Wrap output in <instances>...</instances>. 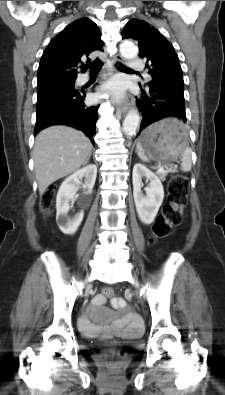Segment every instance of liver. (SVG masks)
Here are the masks:
<instances>
[{
  "label": "liver",
  "instance_id": "obj_1",
  "mask_svg": "<svg viewBox=\"0 0 225 395\" xmlns=\"http://www.w3.org/2000/svg\"><path fill=\"white\" fill-rule=\"evenodd\" d=\"M92 143L81 131L69 126H50L35 138L33 160L38 190L42 195L53 182L86 164Z\"/></svg>",
  "mask_w": 225,
  "mask_h": 395
}]
</instances>
